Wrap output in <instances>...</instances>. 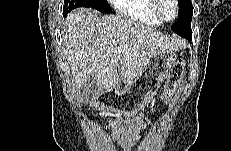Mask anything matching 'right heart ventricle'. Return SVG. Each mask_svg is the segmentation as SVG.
<instances>
[{
  "label": "right heart ventricle",
  "instance_id": "e07e8e85",
  "mask_svg": "<svg viewBox=\"0 0 231 151\" xmlns=\"http://www.w3.org/2000/svg\"><path fill=\"white\" fill-rule=\"evenodd\" d=\"M116 8L128 22L150 26L162 24L151 11V0H119Z\"/></svg>",
  "mask_w": 231,
  "mask_h": 151
}]
</instances>
